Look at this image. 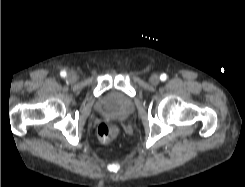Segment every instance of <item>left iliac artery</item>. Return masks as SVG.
<instances>
[{
	"instance_id": "44dca946",
	"label": "left iliac artery",
	"mask_w": 245,
	"mask_h": 187,
	"mask_svg": "<svg viewBox=\"0 0 245 187\" xmlns=\"http://www.w3.org/2000/svg\"><path fill=\"white\" fill-rule=\"evenodd\" d=\"M161 81H165L167 79V75L165 73L160 76Z\"/></svg>"
}]
</instances>
